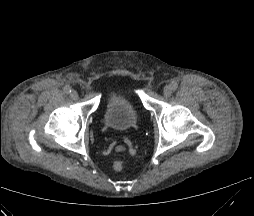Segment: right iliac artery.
I'll list each match as a JSON object with an SVG mask.
<instances>
[{
  "label": "right iliac artery",
  "mask_w": 254,
  "mask_h": 216,
  "mask_svg": "<svg viewBox=\"0 0 254 216\" xmlns=\"http://www.w3.org/2000/svg\"><path fill=\"white\" fill-rule=\"evenodd\" d=\"M64 92L67 94L71 93V88L69 86L64 87Z\"/></svg>",
  "instance_id": "1"
}]
</instances>
